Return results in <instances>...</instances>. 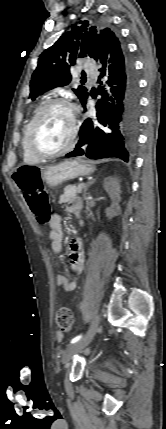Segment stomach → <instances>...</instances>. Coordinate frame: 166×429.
I'll return each instance as SVG.
<instances>
[{
  "label": "stomach",
  "instance_id": "obj_1",
  "mask_svg": "<svg viewBox=\"0 0 166 429\" xmlns=\"http://www.w3.org/2000/svg\"><path fill=\"white\" fill-rule=\"evenodd\" d=\"M95 168L85 160H66L60 164L47 166L41 170V180L50 188L79 176L91 174Z\"/></svg>",
  "mask_w": 166,
  "mask_h": 429
}]
</instances>
